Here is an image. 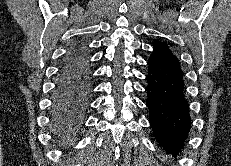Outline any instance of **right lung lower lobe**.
Returning <instances> with one entry per match:
<instances>
[{"label": "right lung lower lobe", "instance_id": "obj_1", "mask_svg": "<svg viewBox=\"0 0 231 166\" xmlns=\"http://www.w3.org/2000/svg\"><path fill=\"white\" fill-rule=\"evenodd\" d=\"M89 52L78 42L67 52L52 99L51 127L58 134L75 133L86 115L91 89Z\"/></svg>", "mask_w": 231, "mask_h": 166}]
</instances>
